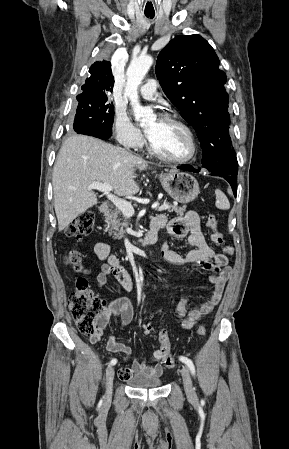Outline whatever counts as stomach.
I'll return each instance as SVG.
<instances>
[{"instance_id": "stomach-1", "label": "stomach", "mask_w": 289, "mask_h": 449, "mask_svg": "<svg viewBox=\"0 0 289 449\" xmlns=\"http://www.w3.org/2000/svg\"><path fill=\"white\" fill-rule=\"evenodd\" d=\"M159 179L164 190L180 203L192 202L200 193L197 180L189 173L172 170Z\"/></svg>"}]
</instances>
